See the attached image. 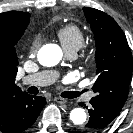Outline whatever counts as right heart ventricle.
Returning a JSON list of instances; mask_svg holds the SVG:
<instances>
[{
    "instance_id": "right-heart-ventricle-1",
    "label": "right heart ventricle",
    "mask_w": 133,
    "mask_h": 133,
    "mask_svg": "<svg viewBox=\"0 0 133 133\" xmlns=\"http://www.w3.org/2000/svg\"><path fill=\"white\" fill-rule=\"evenodd\" d=\"M56 35L66 53L77 52L85 43V36L82 30L74 24L60 27Z\"/></svg>"
}]
</instances>
